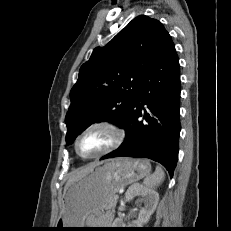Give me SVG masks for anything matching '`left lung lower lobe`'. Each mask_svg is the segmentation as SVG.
<instances>
[{
    "label": "left lung lower lobe",
    "instance_id": "0a47b994",
    "mask_svg": "<svg viewBox=\"0 0 231 231\" xmlns=\"http://www.w3.org/2000/svg\"><path fill=\"white\" fill-rule=\"evenodd\" d=\"M141 83V90L121 125L126 131L124 142L101 159L121 156L149 158L161 163L172 177L178 159L181 129L180 71L169 34ZM142 115L145 121L139 120Z\"/></svg>",
    "mask_w": 231,
    "mask_h": 231
}]
</instances>
